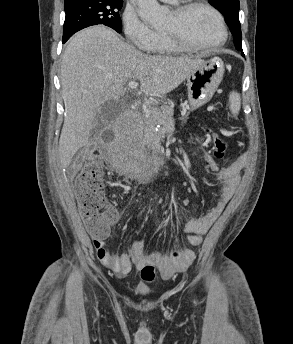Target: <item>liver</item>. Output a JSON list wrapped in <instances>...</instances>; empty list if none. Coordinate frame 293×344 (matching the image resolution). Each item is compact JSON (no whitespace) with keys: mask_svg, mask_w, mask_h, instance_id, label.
<instances>
[{"mask_svg":"<svg viewBox=\"0 0 293 344\" xmlns=\"http://www.w3.org/2000/svg\"><path fill=\"white\" fill-rule=\"evenodd\" d=\"M201 58L147 55L114 31L95 26L77 33L61 62L65 119L59 140V160L68 167L86 146L102 105L118 100L128 81L138 80L146 96L166 95L203 64Z\"/></svg>","mask_w":293,"mask_h":344,"instance_id":"liver-1","label":"liver"}]
</instances>
